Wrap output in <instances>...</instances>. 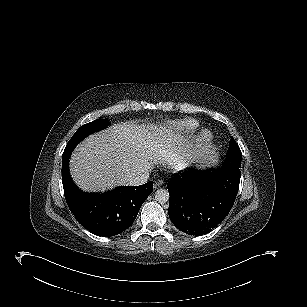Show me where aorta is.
<instances>
[{"label": "aorta", "mask_w": 307, "mask_h": 307, "mask_svg": "<svg viewBox=\"0 0 307 307\" xmlns=\"http://www.w3.org/2000/svg\"><path fill=\"white\" fill-rule=\"evenodd\" d=\"M170 199V195L168 190L166 189H158L155 192V200L160 203V204H164L167 203Z\"/></svg>", "instance_id": "obj_1"}]
</instances>
